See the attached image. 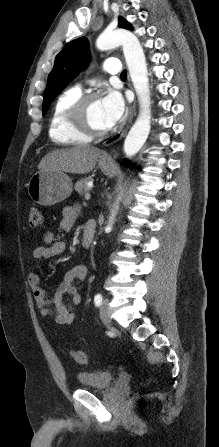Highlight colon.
<instances>
[{
  "label": "colon",
  "mask_w": 219,
  "mask_h": 447,
  "mask_svg": "<svg viewBox=\"0 0 219 447\" xmlns=\"http://www.w3.org/2000/svg\"><path fill=\"white\" fill-rule=\"evenodd\" d=\"M42 223V213L38 206L32 205L29 208V225L31 227H38ZM74 360L79 364H86L88 362V356L84 351L73 350L71 352Z\"/></svg>",
  "instance_id": "1"
}]
</instances>
